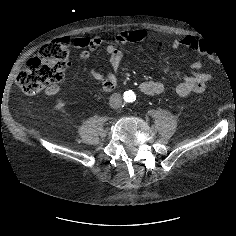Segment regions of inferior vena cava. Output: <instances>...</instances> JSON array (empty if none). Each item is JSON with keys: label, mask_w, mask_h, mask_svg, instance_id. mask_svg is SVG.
<instances>
[{"label": "inferior vena cava", "mask_w": 236, "mask_h": 236, "mask_svg": "<svg viewBox=\"0 0 236 236\" xmlns=\"http://www.w3.org/2000/svg\"><path fill=\"white\" fill-rule=\"evenodd\" d=\"M109 105H110L111 108H113V109H118V108H120L121 105H122V97H121V95L118 94V93H113V94L110 96Z\"/></svg>", "instance_id": "1"}]
</instances>
